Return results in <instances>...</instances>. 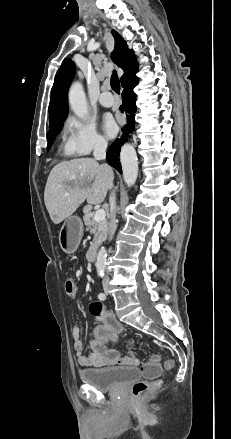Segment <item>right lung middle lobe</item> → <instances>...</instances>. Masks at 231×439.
<instances>
[{
	"mask_svg": "<svg viewBox=\"0 0 231 439\" xmlns=\"http://www.w3.org/2000/svg\"><path fill=\"white\" fill-rule=\"evenodd\" d=\"M62 127H63V124L60 123V124H58V125H56L54 127H51V129L48 131V133H47V140H48L47 148L48 149L53 144L55 136L61 131Z\"/></svg>",
	"mask_w": 231,
	"mask_h": 439,
	"instance_id": "right-lung-middle-lobe-1",
	"label": "right lung middle lobe"
}]
</instances>
